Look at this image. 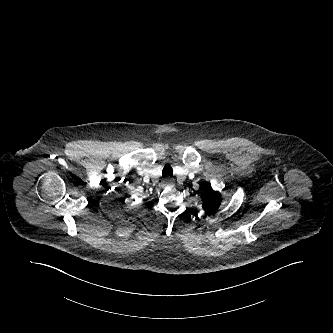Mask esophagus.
<instances>
[{
	"instance_id": "esophagus-1",
	"label": "esophagus",
	"mask_w": 333,
	"mask_h": 333,
	"mask_svg": "<svg viewBox=\"0 0 333 333\" xmlns=\"http://www.w3.org/2000/svg\"><path fill=\"white\" fill-rule=\"evenodd\" d=\"M165 183L168 184V185H172V184H173V183H172V180L169 179V178H167V179L165 180Z\"/></svg>"
}]
</instances>
